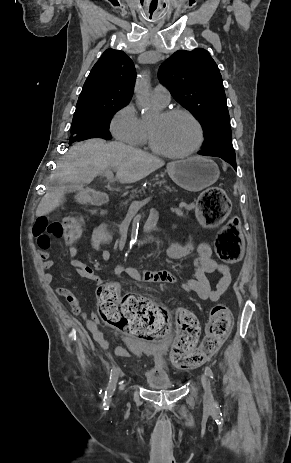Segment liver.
Wrapping results in <instances>:
<instances>
[{
	"label": "liver",
	"mask_w": 291,
	"mask_h": 463,
	"mask_svg": "<svg viewBox=\"0 0 291 463\" xmlns=\"http://www.w3.org/2000/svg\"><path fill=\"white\" fill-rule=\"evenodd\" d=\"M164 165L158 157L120 142L90 139L72 146L58 164L52 178L58 185L42 198L36 216H44L65 201L66 183L77 187L90 183L97 175L116 170L120 183H134Z\"/></svg>",
	"instance_id": "obj_1"
}]
</instances>
